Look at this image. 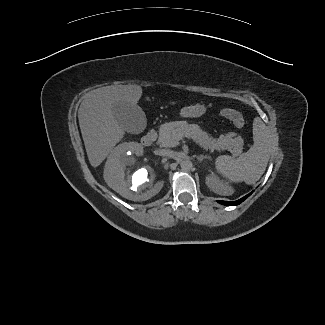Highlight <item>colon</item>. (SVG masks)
<instances>
[{"instance_id":"obj_1","label":"colon","mask_w":325,"mask_h":325,"mask_svg":"<svg viewBox=\"0 0 325 325\" xmlns=\"http://www.w3.org/2000/svg\"><path fill=\"white\" fill-rule=\"evenodd\" d=\"M219 115L230 120L237 128L245 126V120L240 112L235 109L223 108L219 110Z\"/></svg>"}]
</instances>
